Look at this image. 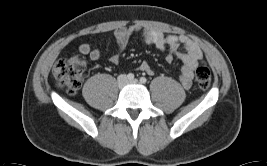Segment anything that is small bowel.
Wrapping results in <instances>:
<instances>
[{"mask_svg": "<svg viewBox=\"0 0 267 166\" xmlns=\"http://www.w3.org/2000/svg\"><path fill=\"white\" fill-rule=\"evenodd\" d=\"M133 33H141L143 42L163 52L167 62H171L175 56H178L183 63L180 78L181 84L185 89H189L191 87L193 71L202 61V52L196 43L187 36H165L162 32L155 29H143L139 26L120 28L114 33L118 45V51L111 57V61L113 63H119L121 54L127 48ZM179 46H182L185 51L179 53ZM78 50L81 54L88 56L93 61L100 58V51L88 43L79 45ZM139 70L148 75H152L154 73L152 66L148 62H142L139 65Z\"/></svg>", "mask_w": 267, "mask_h": 166, "instance_id": "small-bowel-1", "label": "small bowel"}]
</instances>
